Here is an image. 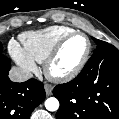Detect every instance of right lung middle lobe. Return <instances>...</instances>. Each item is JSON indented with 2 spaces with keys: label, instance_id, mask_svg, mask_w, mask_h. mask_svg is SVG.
Segmentation results:
<instances>
[{
  "label": "right lung middle lobe",
  "instance_id": "dd1d6c3e",
  "mask_svg": "<svg viewBox=\"0 0 119 119\" xmlns=\"http://www.w3.org/2000/svg\"><path fill=\"white\" fill-rule=\"evenodd\" d=\"M2 50H3V47H2V44L0 42V54L2 53Z\"/></svg>",
  "mask_w": 119,
  "mask_h": 119
}]
</instances>
